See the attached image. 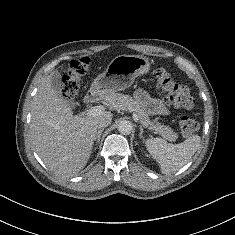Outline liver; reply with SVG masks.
Returning a JSON list of instances; mask_svg holds the SVG:
<instances>
[{
	"label": "liver",
	"instance_id": "liver-1",
	"mask_svg": "<svg viewBox=\"0 0 235 235\" xmlns=\"http://www.w3.org/2000/svg\"><path fill=\"white\" fill-rule=\"evenodd\" d=\"M51 73L44 78L33 98L30 131L35 151L44 164L57 174L71 176L86 165L92 152L100 118L73 116L71 108L54 88Z\"/></svg>",
	"mask_w": 235,
	"mask_h": 235
}]
</instances>
